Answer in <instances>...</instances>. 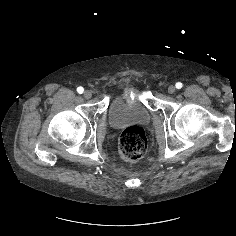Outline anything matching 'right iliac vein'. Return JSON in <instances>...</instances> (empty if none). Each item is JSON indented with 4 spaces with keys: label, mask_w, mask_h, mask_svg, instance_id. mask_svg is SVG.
I'll return each mask as SVG.
<instances>
[{
    "label": "right iliac vein",
    "mask_w": 236,
    "mask_h": 236,
    "mask_svg": "<svg viewBox=\"0 0 236 236\" xmlns=\"http://www.w3.org/2000/svg\"><path fill=\"white\" fill-rule=\"evenodd\" d=\"M84 98L90 99L92 97V93L89 90L84 91L83 93Z\"/></svg>",
    "instance_id": "63e3f726"
}]
</instances>
